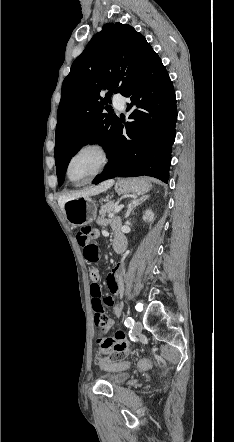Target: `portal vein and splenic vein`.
Returning <instances> with one entry per match:
<instances>
[{
  "label": "portal vein and splenic vein",
  "instance_id": "portal-vein-and-splenic-vein-1",
  "mask_svg": "<svg viewBox=\"0 0 234 442\" xmlns=\"http://www.w3.org/2000/svg\"><path fill=\"white\" fill-rule=\"evenodd\" d=\"M123 207H124V205H119V206H117V207L115 208L114 212L109 214V217H112V216H114V214L120 212V211L122 210Z\"/></svg>",
  "mask_w": 234,
  "mask_h": 442
}]
</instances>
